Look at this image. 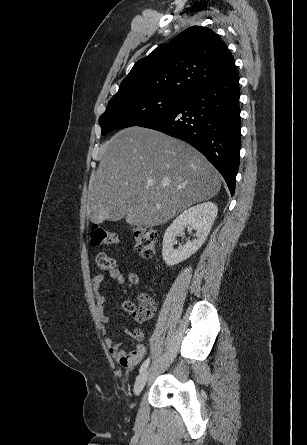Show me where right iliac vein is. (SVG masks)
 <instances>
[{
	"label": "right iliac vein",
	"mask_w": 307,
	"mask_h": 445,
	"mask_svg": "<svg viewBox=\"0 0 307 445\" xmlns=\"http://www.w3.org/2000/svg\"><path fill=\"white\" fill-rule=\"evenodd\" d=\"M148 370H144L136 379L134 384V394L139 395L140 392L143 390L147 379H148Z\"/></svg>",
	"instance_id": "obj_1"
}]
</instances>
